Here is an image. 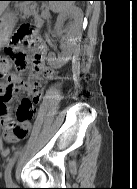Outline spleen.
<instances>
[{
	"instance_id": "1",
	"label": "spleen",
	"mask_w": 137,
	"mask_h": 189,
	"mask_svg": "<svg viewBox=\"0 0 137 189\" xmlns=\"http://www.w3.org/2000/svg\"><path fill=\"white\" fill-rule=\"evenodd\" d=\"M73 2L69 1H49L50 9L53 12H63L72 5Z\"/></svg>"
}]
</instances>
